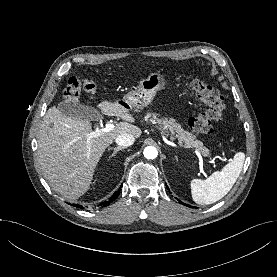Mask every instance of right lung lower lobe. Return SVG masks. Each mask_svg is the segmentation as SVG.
I'll use <instances>...</instances> for the list:
<instances>
[{"label":"right lung lower lobe","mask_w":277,"mask_h":277,"mask_svg":"<svg viewBox=\"0 0 277 277\" xmlns=\"http://www.w3.org/2000/svg\"><path fill=\"white\" fill-rule=\"evenodd\" d=\"M119 191H120V189L118 191H116L108 201H104V202L100 203L99 206H101V207L108 206L110 204V202L114 201L115 198L119 195ZM74 206L77 208L83 209V206H81V205H74Z\"/></svg>","instance_id":"1"}]
</instances>
